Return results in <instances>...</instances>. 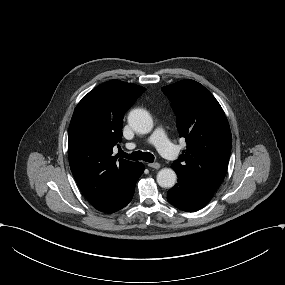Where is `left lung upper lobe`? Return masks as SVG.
Returning a JSON list of instances; mask_svg holds the SVG:
<instances>
[{
  "label": "left lung upper lobe",
  "instance_id": "left-lung-upper-lobe-1",
  "mask_svg": "<svg viewBox=\"0 0 285 285\" xmlns=\"http://www.w3.org/2000/svg\"><path fill=\"white\" fill-rule=\"evenodd\" d=\"M177 116L187 149L172 164L177 175L215 192L227 172L232 136L224 111L200 83L182 80L162 88Z\"/></svg>",
  "mask_w": 285,
  "mask_h": 285
}]
</instances>
